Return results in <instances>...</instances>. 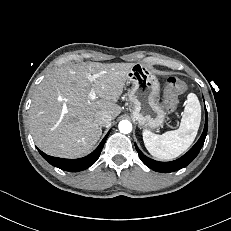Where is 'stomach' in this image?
I'll return each mask as SVG.
<instances>
[{
    "label": "stomach",
    "mask_w": 231,
    "mask_h": 231,
    "mask_svg": "<svg viewBox=\"0 0 231 231\" xmlns=\"http://www.w3.org/2000/svg\"><path fill=\"white\" fill-rule=\"evenodd\" d=\"M151 65L135 63L127 72L125 82L132 84L128 93L132 116L142 128L155 129L165 121L164 106L159 103L160 83Z\"/></svg>",
    "instance_id": "stomach-1"
}]
</instances>
